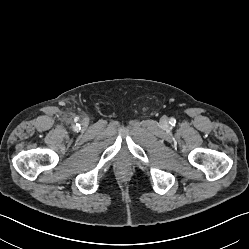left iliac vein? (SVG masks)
<instances>
[{"label": "left iliac vein", "mask_w": 249, "mask_h": 249, "mask_svg": "<svg viewBox=\"0 0 249 249\" xmlns=\"http://www.w3.org/2000/svg\"><path fill=\"white\" fill-rule=\"evenodd\" d=\"M161 122H162L163 124H167V118H166V117H163L162 120H161Z\"/></svg>", "instance_id": "left-iliac-vein-1"}]
</instances>
